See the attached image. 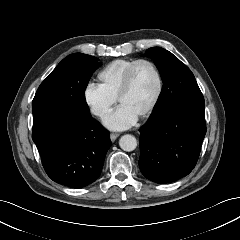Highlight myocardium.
I'll return each mask as SVG.
<instances>
[{
    "mask_svg": "<svg viewBox=\"0 0 240 240\" xmlns=\"http://www.w3.org/2000/svg\"><path fill=\"white\" fill-rule=\"evenodd\" d=\"M148 64L152 70L155 73L156 79H157V90H156V94L152 100V102L150 103V105L141 113V115L139 116L140 119H144L146 117H148L157 107L162 93H163V89H164V81H163V77L161 74V71L159 70L158 66L150 59L147 58H140L135 60L126 70L123 80H122V84L117 96V101L118 103H121V100L123 99V97L129 92L130 88H131V79H132V75H133V71L136 68L137 65L139 64Z\"/></svg>",
    "mask_w": 240,
    "mask_h": 240,
    "instance_id": "myocardium-1",
    "label": "myocardium"
}]
</instances>
